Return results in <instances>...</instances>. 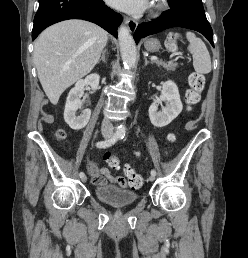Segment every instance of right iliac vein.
Returning a JSON list of instances; mask_svg holds the SVG:
<instances>
[{"instance_id":"obj_1","label":"right iliac vein","mask_w":248,"mask_h":258,"mask_svg":"<svg viewBox=\"0 0 248 258\" xmlns=\"http://www.w3.org/2000/svg\"><path fill=\"white\" fill-rule=\"evenodd\" d=\"M107 136V135H106ZM87 181V177L86 176H84L83 178H82V182H86Z\"/></svg>"}]
</instances>
